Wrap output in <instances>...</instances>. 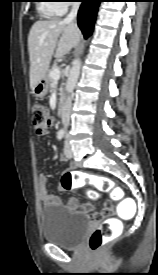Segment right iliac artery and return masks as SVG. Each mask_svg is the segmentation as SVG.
Segmentation results:
<instances>
[{
  "mask_svg": "<svg viewBox=\"0 0 158 275\" xmlns=\"http://www.w3.org/2000/svg\"><path fill=\"white\" fill-rule=\"evenodd\" d=\"M63 137H64V132H63V131H59V132L57 133V138H58L59 140H61Z\"/></svg>",
  "mask_w": 158,
  "mask_h": 275,
  "instance_id": "right-iliac-artery-1",
  "label": "right iliac artery"
}]
</instances>
